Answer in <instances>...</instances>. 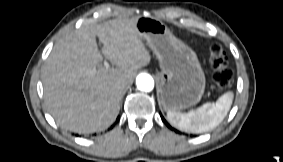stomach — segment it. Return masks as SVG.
Segmentation results:
<instances>
[{
	"instance_id": "1",
	"label": "stomach",
	"mask_w": 283,
	"mask_h": 162,
	"mask_svg": "<svg viewBox=\"0 0 283 162\" xmlns=\"http://www.w3.org/2000/svg\"><path fill=\"white\" fill-rule=\"evenodd\" d=\"M135 29L157 56L160 101L165 110L197 104L204 93L205 76L196 53L154 17H137Z\"/></svg>"
}]
</instances>
